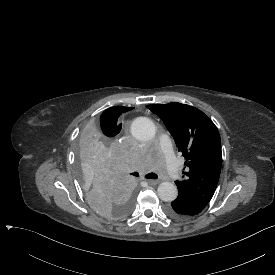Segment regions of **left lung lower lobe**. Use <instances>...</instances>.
I'll return each instance as SVG.
<instances>
[{"instance_id":"1","label":"left lung lower lobe","mask_w":275,"mask_h":275,"mask_svg":"<svg viewBox=\"0 0 275 275\" xmlns=\"http://www.w3.org/2000/svg\"><path fill=\"white\" fill-rule=\"evenodd\" d=\"M206 204L199 202L190 195L179 194L177 199L167 207V213L170 217L178 220H184L198 215Z\"/></svg>"}]
</instances>
